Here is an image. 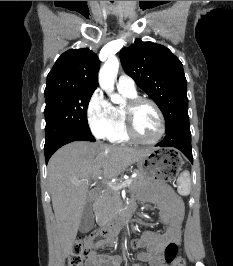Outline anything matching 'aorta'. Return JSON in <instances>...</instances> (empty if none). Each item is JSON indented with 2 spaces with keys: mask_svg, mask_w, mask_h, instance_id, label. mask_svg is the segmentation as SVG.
<instances>
[{
  "mask_svg": "<svg viewBox=\"0 0 233 266\" xmlns=\"http://www.w3.org/2000/svg\"><path fill=\"white\" fill-rule=\"evenodd\" d=\"M119 69V60L116 57H110L99 71V84L109 95L111 101L116 104L123 103L120 95L114 93V84Z\"/></svg>",
  "mask_w": 233,
  "mask_h": 266,
  "instance_id": "1",
  "label": "aorta"
}]
</instances>
